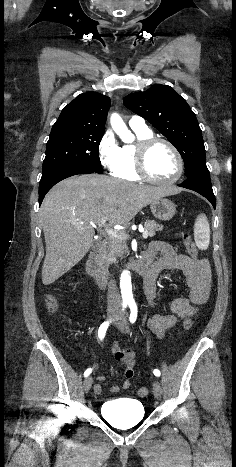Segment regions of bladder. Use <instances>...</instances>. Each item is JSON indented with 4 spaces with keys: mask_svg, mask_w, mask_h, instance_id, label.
Listing matches in <instances>:
<instances>
[{
    "mask_svg": "<svg viewBox=\"0 0 236 467\" xmlns=\"http://www.w3.org/2000/svg\"><path fill=\"white\" fill-rule=\"evenodd\" d=\"M105 420L117 428L138 424L145 415L142 402L131 398L108 400L100 408Z\"/></svg>",
    "mask_w": 236,
    "mask_h": 467,
    "instance_id": "1",
    "label": "bladder"
}]
</instances>
